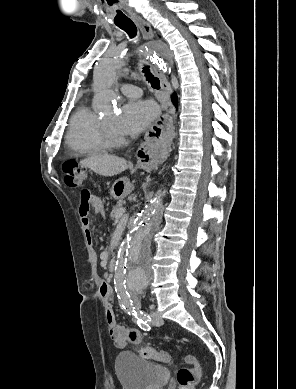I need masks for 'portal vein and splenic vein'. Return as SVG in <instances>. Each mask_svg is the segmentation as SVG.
<instances>
[{
  "label": "portal vein and splenic vein",
  "instance_id": "obj_1",
  "mask_svg": "<svg viewBox=\"0 0 296 389\" xmlns=\"http://www.w3.org/2000/svg\"><path fill=\"white\" fill-rule=\"evenodd\" d=\"M125 211H126L125 208L119 209L116 213V216H115L116 220L120 219L123 216V214L125 213Z\"/></svg>",
  "mask_w": 296,
  "mask_h": 389
}]
</instances>
